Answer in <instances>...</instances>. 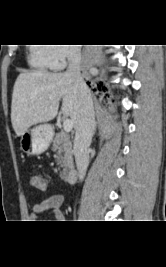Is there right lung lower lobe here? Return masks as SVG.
<instances>
[{"label": "right lung lower lobe", "mask_w": 166, "mask_h": 267, "mask_svg": "<svg viewBox=\"0 0 166 267\" xmlns=\"http://www.w3.org/2000/svg\"><path fill=\"white\" fill-rule=\"evenodd\" d=\"M97 89H98L99 91H104V92H105V89H106V88H105V87L102 88L100 85H98ZM94 90H96V89H94Z\"/></svg>", "instance_id": "obj_1"}]
</instances>
